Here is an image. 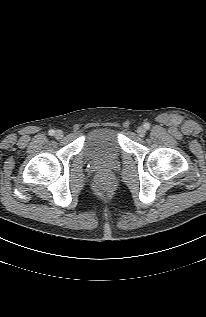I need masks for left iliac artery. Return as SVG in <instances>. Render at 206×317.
Segmentation results:
<instances>
[{"mask_svg":"<svg viewBox=\"0 0 206 317\" xmlns=\"http://www.w3.org/2000/svg\"><path fill=\"white\" fill-rule=\"evenodd\" d=\"M144 127H145V129H149L150 128V124L149 123H145Z\"/></svg>","mask_w":206,"mask_h":317,"instance_id":"obj_1","label":"left iliac artery"}]
</instances>
